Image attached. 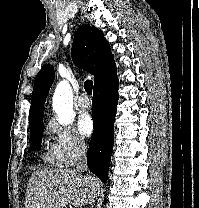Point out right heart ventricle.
<instances>
[{"instance_id":"e07e8e85","label":"right heart ventricle","mask_w":199,"mask_h":208,"mask_svg":"<svg viewBox=\"0 0 199 208\" xmlns=\"http://www.w3.org/2000/svg\"><path fill=\"white\" fill-rule=\"evenodd\" d=\"M45 160L48 162V163H54L56 161L55 157L53 156L52 153H47L45 156H44Z\"/></svg>"}]
</instances>
